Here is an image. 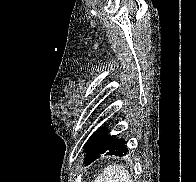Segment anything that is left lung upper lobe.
<instances>
[{"label":"left lung upper lobe","instance_id":"5c2ea615","mask_svg":"<svg viewBox=\"0 0 196 182\" xmlns=\"http://www.w3.org/2000/svg\"><path fill=\"white\" fill-rule=\"evenodd\" d=\"M108 137L107 129L102 127L97 129L89 138L85 147L88 148L87 153L94 150L97 146H99L106 138Z\"/></svg>","mask_w":196,"mask_h":182}]
</instances>
